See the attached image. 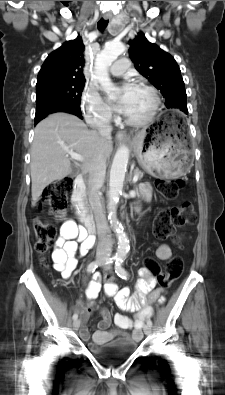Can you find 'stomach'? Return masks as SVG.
Masks as SVG:
<instances>
[{
    "instance_id": "stomach-1",
    "label": "stomach",
    "mask_w": 225,
    "mask_h": 395,
    "mask_svg": "<svg viewBox=\"0 0 225 395\" xmlns=\"http://www.w3.org/2000/svg\"><path fill=\"white\" fill-rule=\"evenodd\" d=\"M179 122L168 112L139 131L132 140L138 162L147 172L164 178L184 175L190 163V150Z\"/></svg>"
}]
</instances>
